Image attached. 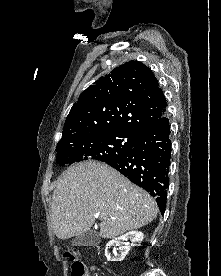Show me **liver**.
I'll return each instance as SVG.
<instances>
[{"mask_svg": "<svg viewBox=\"0 0 221 276\" xmlns=\"http://www.w3.org/2000/svg\"><path fill=\"white\" fill-rule=\"evenodd\" d=\"M156 201L112 167L84 161L70 167L53 192L51 220L59 239L88 232L96 215L100 236L115 238L156 218Z\"/></svg>", "mask_w": 221, "mask_h": 276, "instance_id": "6515ba94", "label": "liver"}]
</instances>
